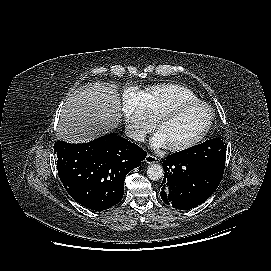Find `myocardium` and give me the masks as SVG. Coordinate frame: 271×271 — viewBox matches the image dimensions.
I'll return each instance as SVG.
<instances>
[{
  "label": "myocardium",
  "instance_id": "obj_1",
  "mask_svg": "<svg viewBox=\"0 0 271 271\" xmlns=\"http://www.w3.org/2000/svg\"><path fill=\"white\" fill-rule=\"evenodd\" d=\"M195 106H204L208 109L209 111V119L208 122L206 123L205 127L191 140L180 144V145H174V146H167L168 150L172 151V152H180V151H184L187 150L195 145H197L209 132L213 121H214V111L212 109V107L200 100H193V101H187V102H182V103H178L176 105H173L169 108H166L165 110L159 112L156 116H155V127L158 129L160 123L165 120L168 119L170 117H173L179 113H181L182 111L195 107Z\"/></svg>",
  "mask_w": 271,
  "mask_h": 271
}]
</instances>
